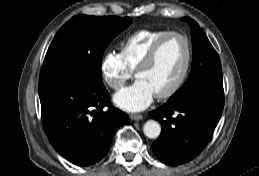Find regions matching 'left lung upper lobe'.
<instances>
[{"label": "left lung upper lobe", "instance_id": "obj_1", "mask_svg": "<svg viewBox=\"0 0 259 176\" xmlns=\"http://www.w3.org/2000/svg\"><path fill=\"white\" fill-rule=\"evenodd\" d=\"M193 28L192 70L186 83L169 99L174 101L200 90H212L223 93L222 68L219 56L199 29V25L191 18H184Z\"/></svg>", "mask_w": 259, "mask_h": 176}]
</instances>
